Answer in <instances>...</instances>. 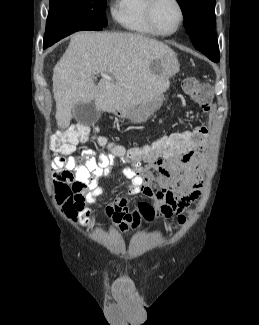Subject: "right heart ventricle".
Segmentation results:
<instances>
[{"instance_id":"1","label":"right heart ventricle","mask_w":259,"mask_h":325,"mask_svg":"<svg viewBox=\"0 0 259 325\" xmlns=\"http://www.w3.org/2000/svg\"><path fill=\"white\" fill-rule=\"evenodd\" d=\"M146 4L147 0H117L113 9L114 19L129 31L157 35L147 21Z\"/></svg>"}]
</instances>
